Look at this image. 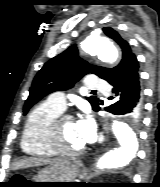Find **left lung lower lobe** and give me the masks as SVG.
Masks as SVG:
<instances>
[{
  "label": "left lung lower lobe",
  "instance_id": "obj_1",
  "mask_svg": "<svg viewBox=\"0 0 160 187\" xmlns=\"http://www.w3.org/2000/svg\"><path fill=\"white\" fill-rule=\"evenodd\" d=\"M109 83L113 87L110 99L115 102L105 109L113 114L125 115L127 119L138 123L143 111V93L135 55L130 58L123 72Z\"/></svg>",
  "mask_w": 160,
  "mask_h": 187
}]
</instances>
